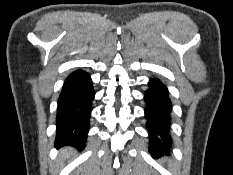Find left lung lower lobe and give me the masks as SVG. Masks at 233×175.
Listing matches in <instances>:
<instances>
[{
	"mask_svg": "<svg viewBox=\"0 0 233 175\" xmlns=\"http://www.w3.org/2000/svg\"><path fill=\"white\" fill-rule=\"evenodd\" d=\"M166 86L157 78L149 80L144 93L145 118L150 137L149 150L155 155L161 149H169L172 140L169 135L171 101Z\"/></svg>",
	"mask_w": 233,
	"mask_h": 175,
	"instance_id": "0a47b994",
	"label": "left lung lower lobe"
}]
</instances>
